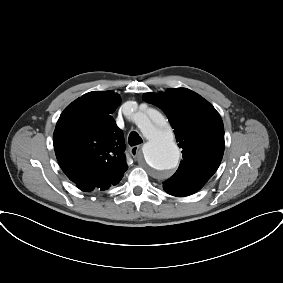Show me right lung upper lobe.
I'll return each instance as SVG.
<instances>
[{"instance_id": "right-lung-upper-lobe-1", "label": "right lung upper lobe", "mask_w": 283, "mask_h": 283, "mask_svg": "<svg viewBox=\"0 0 283 283\" xmlns=\"http://www.w3.org/2000/svg\"><path fill=\"white\" fill-rule=\"evenodd\" d=\"M119 104L113 91L89 92L66 107L57 121L56 157L68 165L63 172L82 191L106 190L128 169L123 132L111 116Z\"/></svg>"}]
</instances>
